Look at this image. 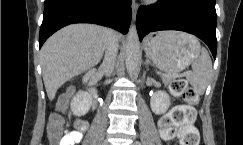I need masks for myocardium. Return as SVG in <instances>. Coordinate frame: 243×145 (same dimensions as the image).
I'll return each mask as SVG.
<instances>
[{
    "label": "myocardium",
    "instance_id": "myocardium-1",
    "mask_svg": "<svg viewBox=\"0 0 243 145\" xmlns=\"http://www.w3.org/2000/svg\"><path fill=\"white\" fill-rule=\"evenodd\" d=\"M148 3H150V4H153V3H156V2H158L159 0H146Z\"/></svg>",
    "mask_w": 243,
    "mask_h": 145
}]
</instances>
